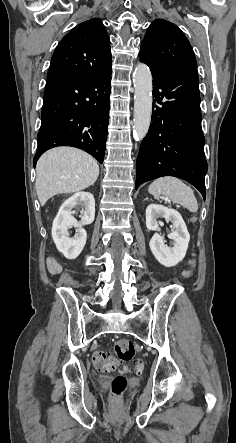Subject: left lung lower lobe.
Returning <instances> with one entry per match:
<instances>
[{
    "mask_svg": "<svg viewBox=\"0 0 236 443\" xmlns=\"http://www.w3.org/2000/svg\"><path fill=\"white\" fill-rule=\"evenodd\" d=\"M152 123L137 158L136 189L162 176L194 185L205 199L207 162L201 128L198 73L194 70L152 71Z\"/></svg>",
    "mask_w": 236,
    "mask_h": 443,
    "instance_id": "0a47b994",
    "label": "left lung lower lobe"
}]
</instances>
